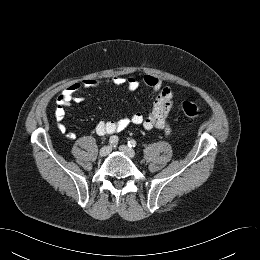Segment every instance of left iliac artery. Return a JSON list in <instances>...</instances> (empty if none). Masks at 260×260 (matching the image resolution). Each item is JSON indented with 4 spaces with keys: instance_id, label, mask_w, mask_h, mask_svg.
Returning a JSON list of instances; mask_svg holds the SVG:
<instances>
[{
    "instance_id": "left-iliac-artery-1",
    "label": "left iliac artery",
    "mask_w": 260,
    "mask_h": 260,
    "mask_svg": "<svg viewBox=\"0 0 260 260\" xmlns=\"http://www.w3.org/2000/svg\"><path fill=\"white\" fill-rule=\"evenodd\" d=\"M128 146L131 147V148H134L136 146V141L133 140V139L128 141Z\"/></svg>"
}]
</instances>
